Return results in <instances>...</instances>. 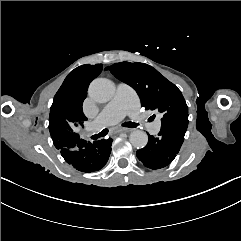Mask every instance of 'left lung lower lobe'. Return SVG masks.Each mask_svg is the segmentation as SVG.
<instances>
[{"label": "left lung lower lobe", "mask_w": 241, "mask_h": 241, "mask_svg": "<svg viewBox=\"0 0 241 241\" xmlns=\"http://www.w3.org/2000/svg\"><path fill=\"white\" fill-rule=\"evenodd\" d=\"M187 126L175 123L162 125L158 137L148 135V144L136 153L138 159L151 169L169 165L181 148Z\"/></svg>", "instance_id": "left-lung-lower-lobe-1"}]
</instances>
